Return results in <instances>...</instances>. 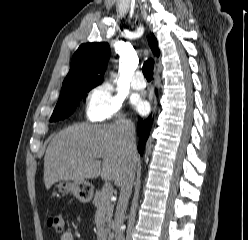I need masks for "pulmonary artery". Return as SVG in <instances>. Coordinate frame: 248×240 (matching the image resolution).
I'll return each mask as SVG.
<instances>
[{
	"label": "pulmonary artery",
	"mask_w": 248,
	"mask_h": 240,
	"mask_svg": "<svg viewBox=\"0 0 248 240\" xmlns=\"http://www.w3.org/2000/svg\"><path fill=\"white\" fill-rule=\"evenodd\" d=\"M145 79L141 71H136L132 77V87L135 90H142L145 87Z\"/></svg>",
	"instance_id": "e3ab8cb5"
}]
</instances>
